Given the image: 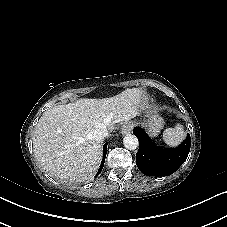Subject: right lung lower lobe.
<instances>
[{
    "instance_id": "obj_1",
    "label": "right lung lower lobe",
    "mask_w": 227,
    "mask_h": 227,
    "mask_svg": "<svg viewBox=\"0 0 227 227\" xmlns=\"http://www.w3.org/2000/svg\"><path fill=\"white\" fill-rule=\"evenodd\" d=\"M106 151H107V144H105L104 147H103V159H102V163H101V166H100V168H99V170H98L97 175H99V173H100V172L102 171V169H103L104 162H105V157H106Z\"/></svg>"
}]
</instances>
